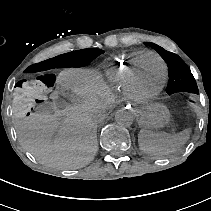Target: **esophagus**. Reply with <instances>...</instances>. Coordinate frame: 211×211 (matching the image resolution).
<instances>
[{
	"label": "esophagus",
	"instance_id": "esophagus-1",
	"mask_svg": "<svg viewBox=\"0 0 211 211\" xmlns=\"http://www.w3.org/2000/svg\"><path fill=\"white\" fill-rule=\"evenodd\" d=\"M123 107L128 112H131V111L136 112L139 109L138 104L134 102H129V101L124 102Z\"/></svg>",
	"mask_w": 211,
	"mask_h": 211
}]
</instances>
